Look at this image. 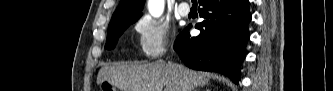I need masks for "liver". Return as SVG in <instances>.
<instances>
[{"label":"liver","instance_id":"obj_1","mask_svg":"<svg viewBox=\"0 0 333 91\" xmlns=\"http://www.w3.org/2000/svg\"><path fill=\"white\" fill-rule=\"evenodd\" d=\"M209 74H200L183 65L158 61L147 64L116 63L103 66L97 84L110 81L121 91H183L186 84L190 91L208 83Z\"/></svg>","mask_w":333,"mask_h":91}]
</instances>
